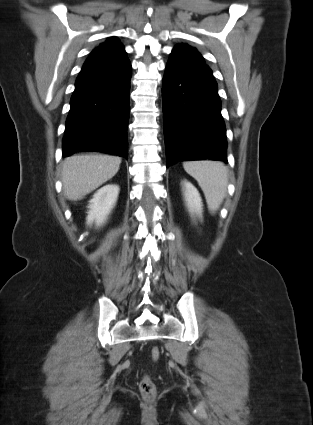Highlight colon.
<instances>
[{
	"label": "colon",
	"mask_w": 313,
	"mask_h": 425,
	"mask_svg": "<svg viewBox=\"0 0 313 425\" xmlns=\"http://www.w3.org/2000/svg\"><path fill=\"white\" fill-rule=\"evenodd\" d=\"M161 356V350L159 347H153L150 352V357L152 361L156 362ZM140 392L142 397L146 401H151L156 396V385L154 381L149 376H144L139 385Z\"/></svg>",
	"instance_id": "colon-1"
}]
</instances>
